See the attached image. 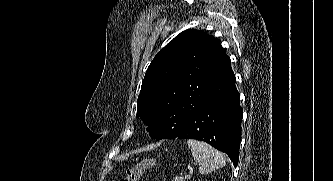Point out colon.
Segmentation results:
<instances>
[{
	"instance_id": "obj_1",
	"label": "colon",
	"mask_w": 333,
	"mask_h": 181,
	"mask_svg": "<svg viewBox=\"0 0 333 181\" xmlns=\"http://www.w3.org/2000/svg\"><path fill=\"white\" fill-rule=\"evenodd\" d=\"M156 162V159L153 157L141 160L135 166L129 168L126 171L125 177L120 179L119 181H139L145 172L155 167Z\"/></svg>"
}]
</instances>
